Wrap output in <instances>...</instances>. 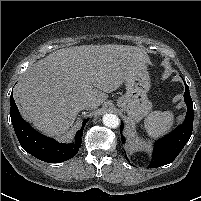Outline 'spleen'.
I'll return each mask as SVG.
<instances>
[{
    "mask_svg": "<svg viewBox=\"0 0 201 201\" xmlns=\"http://www.w3.org/2000/svg\"><path fill=\"white\" fill-rule=\"evenodd\" d=\"M174 123V114L171 111H154L144 121L145 129L152 138L167 133Z\"/></svg>",
    "mask_w": 201,
    "mask_h": 201,
    "instance_id": "obj_1",
    "label": "spleen"
}]
</instances>
